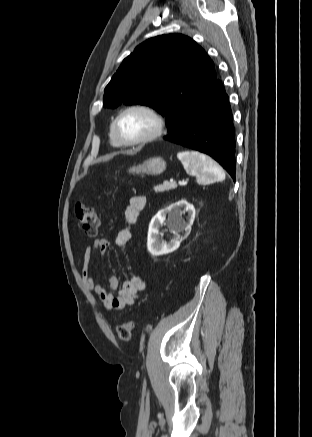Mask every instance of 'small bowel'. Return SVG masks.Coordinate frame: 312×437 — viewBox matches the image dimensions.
I'll return each instance as SVG.
<instances>
[{
    "label": "small bowel",
    "mask_w": 312,
    "mask_h": 437,
    "mask_svg": "<svg viewBox=\"0 0 312 437\" xmlns=\"http://www.w3.org/2000/svg\"><path fill=\"white\" fill-rule=\"evenodd\" d=\"M146 198L136 195L130 198L124 215L129 225L134 224L140 212L144 209ZM131 232L128 227L122 229L117 237L116 244L123 248L128 243ZM110 248V241L106 238L96 239L91 246H87L84 253V266L82 280L88 290L94 292L101 300L105 309L109 311L123 310L134 304L138 294L144 290L145 283L140 276L133 275L123 281L121 289L115 294L118 288V278L114 275L108 277L107 282L96 281L91 271V261L95 253L104 255Z\"/></svg>",
    "instance_id": "obj_1"
}]
</instances>
